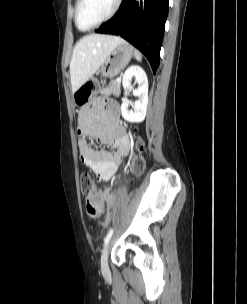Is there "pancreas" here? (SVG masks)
<instances>
[{
    "label": "pancreas",
    "mask_w": 247,
    "mask_h": 304,
    "mask_svg": "<svg viewBox=\"0 0 247 304\" xmlns=\"http://www.w3.org/2000/svg\"><path fill=\"white\" fill-rule=\"evenodd\" d=\"M120 81H111L107 87L102 88L100 90L101 95L109 96L111 94L113 95H119L120 93Z\"/></svg>",
    "instance_id": "cf45deb5"
}]
</instances>
